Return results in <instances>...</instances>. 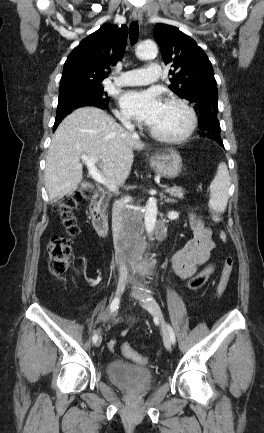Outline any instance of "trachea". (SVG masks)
I'll return each mask as SVG.
<instances>
[{
    "label": "trachea",
    "mask_w": 264,
    "mask_h": 433,
    "mask_svg": "<svg viewBox=\"0 0 264 433\" xmlns=\"http://www.w3.org/2000/svg\"><path fill=\"white\" fill-rule=\"evenodd\" d=\"M138 33H139L138 21H133L129 29L130 42L132 45L136 42L138 38Z\"/></svg>",
    "instance_id": "obj_1"
}]
</instances>
